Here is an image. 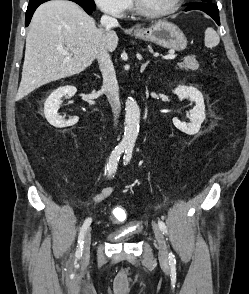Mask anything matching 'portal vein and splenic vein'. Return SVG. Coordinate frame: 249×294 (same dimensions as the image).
Returning a JSON list of instances; mask_svg holds the SVG:
<instances>
[{
    "mask_svg": "<svg viewBox=\"0 0 249 294\" xmlns=\"http://www.w3.org/2000/svg\"><path fill=\"white\" fill-rule=\"evenodd\" d=\"M58 50H59V52H61L65 56V60L71 59V54L69 52H67L65 49L59 48ZM175 58H176L175 55L163 56V59H175Z\"/></svg>",
    "mask_w": 249,
    "mask_h": 294,
    "instance_id": "obj_1",
    "label": "portal vein and splenic vein"
}]
</instances>
